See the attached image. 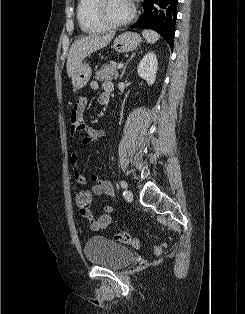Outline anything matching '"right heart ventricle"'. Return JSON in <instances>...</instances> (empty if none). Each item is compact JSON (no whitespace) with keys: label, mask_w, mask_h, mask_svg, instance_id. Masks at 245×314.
I'll use <instances>...</instances> for the list:
<instances>
[{"label":"right heart ventricle","mask_w":245,"mask_h":314,"mask_svg":"<svg viewBox=\"0 0 245 314\" xmlns=\"http://www.w3.org/2000/svg\"><path fill=\"white\" fill-rule=\"evenodd\" d=\"M95 2L96 0H79L77 5V19L81 29L86 33H100L107 30L95 18Z\"/></svg>","instance_id":"right-heart-ventricle-1"}]
</instances>
